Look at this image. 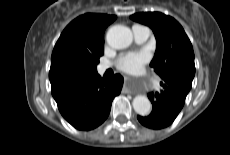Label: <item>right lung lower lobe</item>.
<instances>
[{
  "instance_id": "98d812e1",
  "label": "right lung lower lobe",
  "mask_w": 230,
  "mask_h": 155,
  "mask_svg": "<svg viewBox=\"0 0 230 155\" xmlns=\"http://www.w3.org/2000/svg\"><path fill=\"white\" fill-rule=\"evenodd\" d=\"M50 82L62 116L79 130H91L108 117L113 98L121 92L123 77L116 74L104 82L95 72Z\"/></svg>"
}]
</instances>
